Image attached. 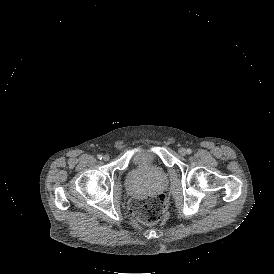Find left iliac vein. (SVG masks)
<instances>
[{
	"label": "left iliac vein",
	"instance_id": "4c4485c4",
	"mask_svg": "<svg viewBox=\"0 0 274 274\" xmlns=\"http://www.w3.org/2000/svg\"><path fill=\"white\" fill-rule=\"evenodd\" d=\"M178 152L181 156H185L187 154V150L183 147L179 148Z\"/></svg>",
	"mask_w": 274,
	"mask_h": 274
}]
</instances>
